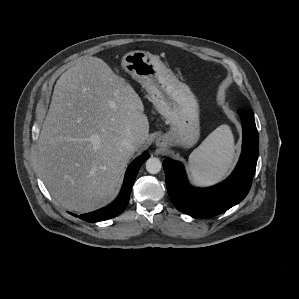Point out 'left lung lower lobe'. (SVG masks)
<instances>
[{
  "label": "left lung lower lobe",
  "mask_w": 299,
  "mask_h": 299,
  "mask_svg": "<svg viewBox=\"0 0 299 299\" xmlns=\"http://www.w3.org/2000/svg\"><path fill=\"white\" fill-rule=\"evenodd\" d=\"M238 113L243 128L242 153L236 168L225 181L209 188H194L188 183L181 163L164 160L168 194L179 211L212 217L238 204L248 194L258 158V132L251 109Z\"/></svg>",
  "instance_id": "left-lung-lower-lobe-1"
}]
</instances>
